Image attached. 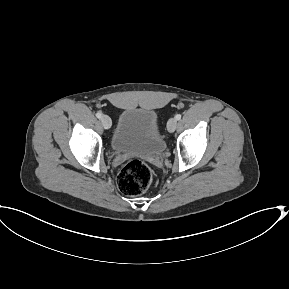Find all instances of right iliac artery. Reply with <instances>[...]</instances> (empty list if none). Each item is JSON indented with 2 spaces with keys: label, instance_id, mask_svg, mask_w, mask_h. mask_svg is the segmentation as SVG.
Returning <instances> with one entry per match:
<instances>
[{
  "label": "right iliac artery",
  "instance_id": "1",
  "mask_svg": "<svg viewBox=\"0 0 289 289\" xmlns=\"http://www.w3.org/2000/svg\"><path fill=\"white\" fill-rule=\"evenodd\" d=\"M96 117L100 119V118L102 117V113H101L100 111H98V112L96 113Z\"/></svg>",
  "mask_w": 289,
  "mask_h": 289
}]
</instances>
